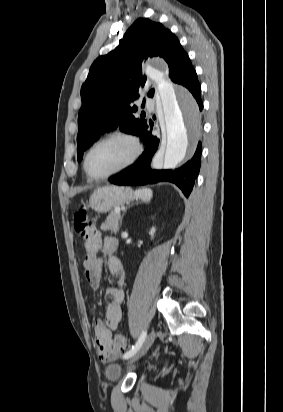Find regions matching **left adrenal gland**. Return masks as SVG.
I'll list each match as a JSON object with an SVG mask.
<instances>
[{
  "mask_svg": "<svg viewBox=\"0 0 283 412\" xmlns=\"http://www.w3.org/2000/svg\"><path fill=\"white\" fill-rule=\"evenodd\" d=\"M125 212H126V210L124 211L123 216H124ZM123 216H122V218H123ZM121 224H122V219H121Z\"/></svg>",
  "mask_w": 283,
  "mask_h": 412,
  "instance_id": "a2214340",
  "label": "left adrenal gland"
}]
</instances>
